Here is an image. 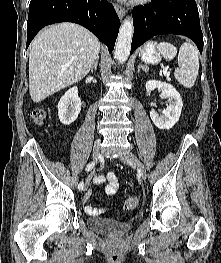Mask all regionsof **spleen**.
<instances>
[{
  "instance_id": "spleen-1",
  "label": "spleen",
  "mask_w": 221,
  "mask_h": 263,
  "mask_svg": "<svg viewBox=\"0 0 221 263\" xmlns=\"http://www.w3.org/2000/svg\"><path fill=\"white\" fill-rule=\"evenodd\" d=\"M157 49L168 61L177 55V48L168 43L161 42ZM179 68L174 71V77L186 88H191L195 84L199 71V57L197 48L190 42L181 45L178 53Z\"/></svg>"
}]
</instances>
